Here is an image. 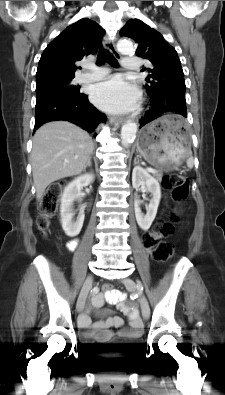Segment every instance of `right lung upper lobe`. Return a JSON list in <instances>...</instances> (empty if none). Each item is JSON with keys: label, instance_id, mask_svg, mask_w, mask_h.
<instances>
[{"label": "right lung upper lobe", "instance_id": "cb5924a9", "mask_svg": "<svg viewBox=\"0 0 225 395\" xmlns=\"http://www.w3.org/2000/svg\"><path fill=\"white\" fill-rule=\"evenodd\" d=\"M104 32L88 18L67 27L43 51L37 68L36 86L73 79L78 68L75 63L97 52V44Z\"/></svg>", "mask_w": 225, "mask_h": 395}]
</instances>
